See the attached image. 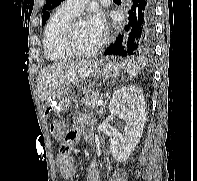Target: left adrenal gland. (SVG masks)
Segmentation results:
<instances>
[{
	"label": "left adrenal gland",
	"mask_w": 197,
	"mask_h": 181,
	"mask_svg": "<svg viewBox=\"0 0 197 181\" xmlns=\"http://www.w3.org/2000/svg\"><path fill=\"white\" fill-rule=\"evenodd\" d=\"M106 104H107V102L104 103L103 107L99 111V115H102L104 113Z\"/></svg>",
	"instance_id": "obj_1"
}]
</instances>
